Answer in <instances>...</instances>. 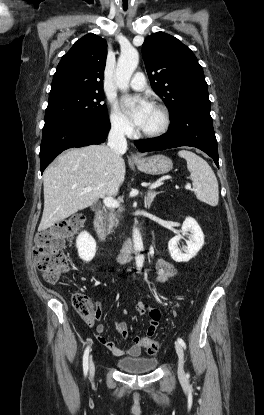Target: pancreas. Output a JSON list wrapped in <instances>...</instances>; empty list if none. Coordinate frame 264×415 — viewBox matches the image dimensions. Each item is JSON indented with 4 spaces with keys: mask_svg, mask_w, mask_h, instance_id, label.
I'll return each mask as SVG.
<instances>
[{
    "mask_svg": "<svg viewBox=\"0 0 264 415\" xmlns=\"http://www.w3.org/2000/svg\"><path fill=\"white\" fill-rule=\"evenodd\" d=\"M118 220L116 219V214L111 212L109 215L106 216L105 227L107 228V232H113V229L117 226Z\"/></svg>",
    "mask_w": 264,
    "mask_h": 415,
    "instance_id": "1",
    "label": "pancreas"
}]
</instances>
